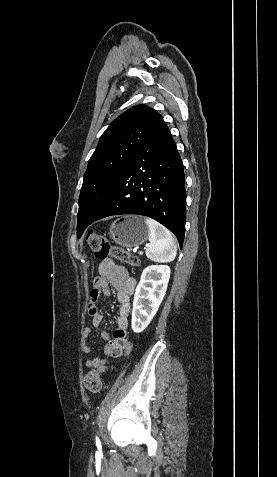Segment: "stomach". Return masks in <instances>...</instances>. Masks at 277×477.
I'll list each match as a JSON object with an SVG mask.
<instances>
[{
    "label": "stomach",
    "instance_id": "stomach-1",
    "mask_svg": "<svg viewBox=\"0 0 277 477\" xmlns=\"http://www.w3.org/2000/svg\"><path fill=\"white\" fill-rule=\"evenodd\" d=\"M109 234L119 246L133 248L147 240L149 228L144 217L130 215L115 220L110 226Z\"/></svg>",
    "mask_w": 277,
    "mask_h": 477
}]
</instances>
